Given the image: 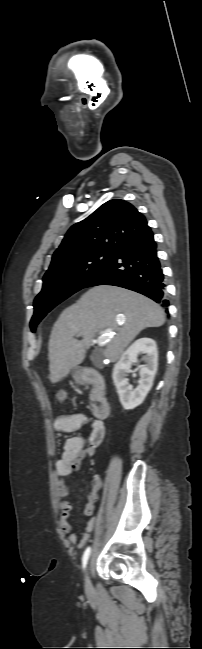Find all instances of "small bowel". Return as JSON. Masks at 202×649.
<instances>
[{"mask_svg": "<svg viewBox=\"0 0 202 649\" xmlns=\"http://www.w3.org/2000/svg\"><path fill=\"white\" fill-rule=\"evenodd\" d=\"M85 425L90 427L88 436H73L68 438L65 442L63 453L56 464V491L61 510L60 526L62 531L68 534V540L71 544L78 542V548L84 547L89 539V533L93 529L94 518L91 516L97 509L98 492L102 487V480L99 475H94L92 478L91 492L87 496L88 501L84 509V514L91 518L87 522L85 530L78 533L71 532L72 526L69 519L71 517L72 504L67 500L69 489L66 481L73 475L79 463L84 458L94 455L96 448L105 437V426L103 421L89 417L84 413L60 415L54 420V428L60 432H74Z\"/></svg>", "mask_w": 202, "mask_h": 649, "instance_id": "1", "label": "small bowel"}]
</instances>
